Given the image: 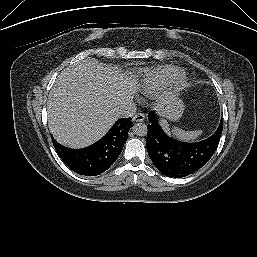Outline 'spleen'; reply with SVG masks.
<instances>
[{
	"label": "spleen",
	"mask_w": 257,
	"mask_h": 257,
	"mask_svg": "<svg viewBox=\"0 0 257 257\" xmlns=\"http://www.w3.org/2000/svg\"><path fill=\"white\" fill-rule=\"evenodd\" d=\"M162 125L164 126L166 131H169L168 123L166 121H162ZM174 135L184 141H190L196 139L199 135H201V130H195V131H184L179 128L173 129Z\"/></svg>",
	"instance_id": "spleen-1"
}]
</instances>
